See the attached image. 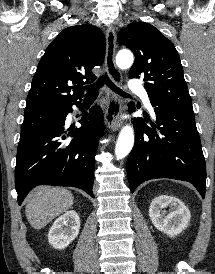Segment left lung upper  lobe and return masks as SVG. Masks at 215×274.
<instances>
[{"instance_id": "5c2ea615", "label": "left lung upper lobe", "mask_w": 215, "mask_h": 274, "mask_svg": "<svg viewBox=\"0 0 215 274\" xmlns=\"http://www.w3.org/2000/svg\"><path fill=\"white\" fill-rule=\"evenodd\" d=\"M118 42L131 49L135 62L130 78H142L150 100L193 111L183 67L173 43L146 22L130 23Z\"/></svg>"}]
</instances>
